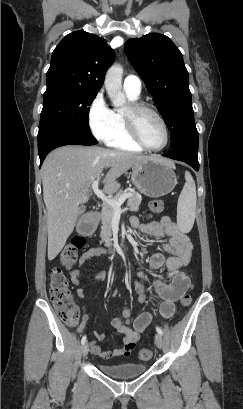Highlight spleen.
<instances>
[{
  "label": "spleen",
  "instance_id": "obj_1",
  "mask_svg": "<svg viewBox=\"0 0 243 409\" xmlns=\"http://www.w3.org/2000/svg\"><path fill=\"white\" fill-rule=\"evenodd\" d=\"M196 185L191 174L185 172V184L178 198L177 224L184 233L189 232L195 221L196 210Z\"/></svg>",
  "mask_w": 243,
  "mask_h": 409
}]
</instances>
